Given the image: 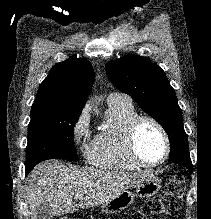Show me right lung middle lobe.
<instances>
[{
	"label": "right lung middle lobe",
	"mask_w": 211,
	"mask_h": 219,
	"mask_svg": "<svg viewBox=\"0 0 211 219\" xmlns=\"http://www.w3.org/2000/svg\"><path fill=\"white\" fill-rule=\"evenodd\" d=\"M79 116L80 112H56L46 105H32L26 147L28 172L51 158L78 160L73 129Z\"/></svg>",
	"instance_id": "right-lung-middle-lobe-1"
}]
</instances>
